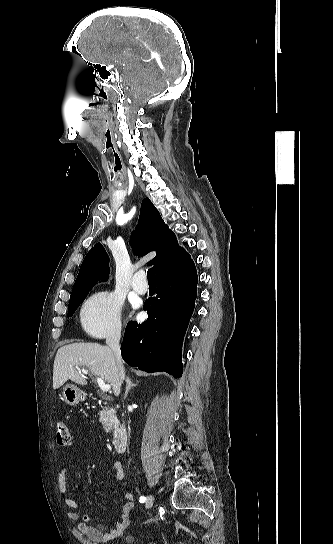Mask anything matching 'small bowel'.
Returning a JSON list of instances; mask_svg holds the SVG:
<instances>
[{"mask_svg":"<svg viewBox=\"0 0 333 544\" xmlns=\"http://www.w3.org/2000/svg\"><path fill=\"white\" fill-rule=\"evenodd\" d=\"M70 466L71 461L66 460L61 463L58 471V486L60 494L65 505L71 509V511L67 513L68 518L72 521H79L77 524L78 530L95 542H105L115 539L129 524L133 494L130 492L125 493L124 498L126 502L123 504L122 513L119 520L114 524V526L107 528L102 524L94 522L90 515L80 514L79 504L72 499L67 488V477ZM113 468L115 470L116 481H122L125 476L122 464L119 461H115L113 463Z\"/></svg>","mask_w":333,"mask_h":544,"instance_id":"c3829d8e","label":"small bowel"}]
</instances>
